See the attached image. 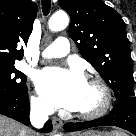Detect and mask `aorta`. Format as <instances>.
<instances>
[{
	"label": "aorta",
	"mask_w": 136,
	"mask_h": 136,
	"mask_svg": "<svg viewBox=\"0 0 136 136\" xmlns=\"http://www.w3.org/2000/svg\"><path fill=\"white\" fill-rule=\"evenodd\" d=\"M68 23H69L68 15L63 11H59L51 16L48 26L51 31L56 32L65 29L68 26Z\"/></svg>",
	"instance_id": "obj_1"
}]
</instances>
